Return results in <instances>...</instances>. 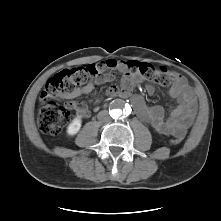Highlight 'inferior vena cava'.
<instances>
[{"label":"inferior vena cava","instance_id":"1","mask_svg":"<svg viewBox=\"0 0 221 221\" xmlns=\"http://www.w3.org/2000/svg\"><path fill=\"white\" fill-rule=\"evenodd\" d=\"M98 119L101 121V122H110L111 118L110 116L108 115V113L106 111H102L98 114Z\"/></svg>","mask_w":221,"mask_h":221}]
</instances>
